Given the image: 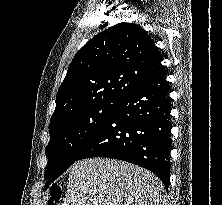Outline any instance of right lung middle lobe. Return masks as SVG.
I'll use <instances>...</instances> for the list:
<instances>
[{
  "mask_svg": "<svg viewBox=\"0 0 222 205\" xmlns=\"http://www.w3.org/2000/svg\"><path fill=\"white\" fill-rule=\"evenodd\" d=\"M120 101H109L83 108L50 124V142L46 148L45 168L48 186L75 161L88 142L104 125Z\"/></svg>",
  "mask_w": 222,
  "mask_h": 205,
  "instance_id": "dd1d6c3e",
  "label": "right lung middle lobe"
}]
</instances>
